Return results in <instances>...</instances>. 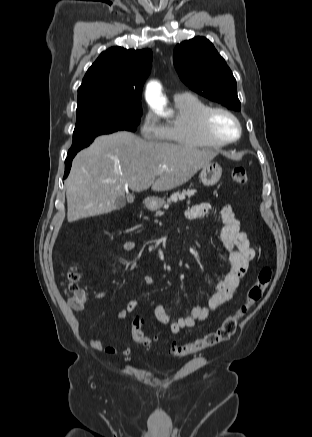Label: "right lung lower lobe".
I'll use <instances>...</instances> for the list:
<instances>
[{"label":"right lung lower lobe","instance_id":"obj_1","mask_svg":"<svg viewBox=\"0 0 312 437\" xmlns=\"http://www.w3.org/2000/svg\"><path fill=\"white\" fill-rule=\"evenodd\" d=\"M77 153H73V154H68V157L65 160V173H64V179L68 176L69 172H70V168L72 165V159L74 158V156Z\"/></svg>","mask_w":312,"mask_h":437}]
</instances>
